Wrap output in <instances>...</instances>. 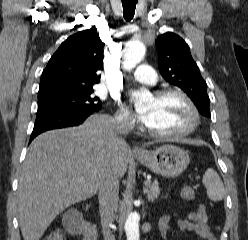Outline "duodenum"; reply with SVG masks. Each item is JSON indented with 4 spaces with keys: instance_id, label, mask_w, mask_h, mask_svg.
<instances>
[{
    "instance_id": "duodenum-1",
    "label": "duodenum",
    "mask_w": 248,
    "mask_h": 240,
    "mask_svg": "<svg viewBox=\"0 0 248 240\" xmlns=\"http://www.w3.org/2000/svg\"><path fill=\"white\" fill-rule=\"evenodd\" d=\"M76 226L82 234L83 240H98L97 230L85 220H78Z\"/></svg>"
}]
</instances>
